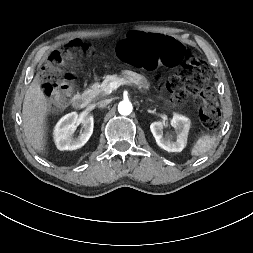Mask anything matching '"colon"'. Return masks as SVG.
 <instances>
[{
  "label": "colon",
  "mask_w": 253,
  "mask_h": 253,
  "mask_svg": "<svg viewBox=\"0 0 253 253\" xmlns=\"http://www.w3.org/2000/svg\"><path fill=\"white\" fill-rule=\"evenodd\" d=\"M91 53L92 48L79 41L53 51L40 74L44 94L61 103L73 87V77L63 67L67 63L78 64ZM117 53L124 62L136 67H176V73L163 83V89L178 102L187 94L194 95L203 124L209 129L217 128L221 111L215 95L207 88L210 69L203 59L172 38L140 33L130 34L118 45ZM159 79L156 76V80Z\"/></svg>",
  "instance_id": "1"
}]
</instances>
